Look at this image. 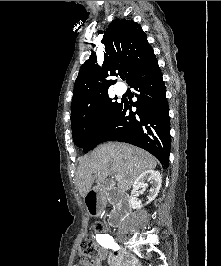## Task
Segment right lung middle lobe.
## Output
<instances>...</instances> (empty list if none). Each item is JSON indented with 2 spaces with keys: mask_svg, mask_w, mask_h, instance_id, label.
<instances>
[{
  "mask_svg": "<svg viewBox=\"0 0 221 266\" xmlns=\"http://www.w3.org/2000/svg\"><path fill=\"white\" fill-rule=\"evenodd\" d=\"M121 106L122 102L117 103L104 94L88 112L71 118L74 144L82 147L85 153L95 148L114 124Z\"/></svg>",
  "mask_w": 221,
  "mask_h": 266,
  "instance_id": "obj_1",
  "label": "right lung middle lobe"
}]
</instances>
